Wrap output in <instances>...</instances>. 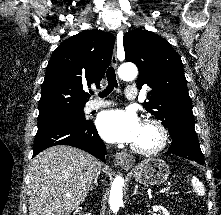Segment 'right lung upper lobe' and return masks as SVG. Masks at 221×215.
<instances>
[{
  "label": "right lung upper lobe",
  "mask_w": 221,
  "mask_h": 215,
  "mask_svg": "<svg viewBox=\"0 0 221 215\" xmlns=\"http://www.w3.org/2000/svg\"><path fill=\"white\" fill-rule=\"evenodd\" d=\"M114 36L86 30L63 41L47 65L39 102V116L83 108L90 95L85 88L96 85L111 63Z\"/></svg>",
  "instance_id": "cb5924a9"
}]
</instances>
